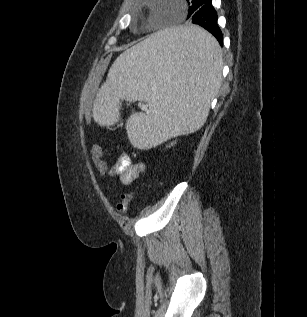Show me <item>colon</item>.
Segmentation results:
<instances>
[{"mask_svg":"<svg viewBox=\"0 0 307 317\" xmlns=\"http://www.w3.org/2000/svg\"><path fill=\"white\" fill-rule=\"evenodd\" d=\"M92 159L93 162L98 169L100 174H104L106 172V163L103 159L105 150L100 146H94L92 148ZM133 197V192H126L121 195L120 201L118 202L116 208L117 211L121 214L127 212L131 199Z\"/></svg>","mask_w":307,"mask_h":317,"instance_id":"colon-1","label":"colon"}]
</instances>
